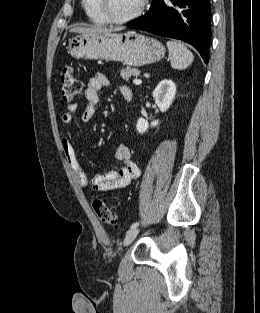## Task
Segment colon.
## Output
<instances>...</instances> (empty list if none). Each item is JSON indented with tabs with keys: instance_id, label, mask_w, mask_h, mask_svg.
<instances>
[{
	"instance_id": "colon-1",
	"label": "colon",
	"mask_w": 260,
	"mask_h": 313,
	"mask_svg": "<svg viewBox=\"0 0 260 313\" xmlns=\"http://www.w3.org/2000/svg\"><path fill=\"white\" fill-rule=\"evenodd\" d=\"M61 95L63 100L71 101L77 97L83 90V83L75 73L74 69L66 66L61 71ZM93 210L97 217L104 223L114 225L115 220L110 208L101 199H94Z\"/></svg>"
}]
</instances>
